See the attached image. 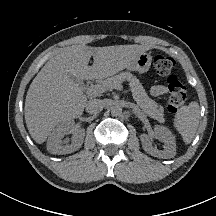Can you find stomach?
<instances>
[{
  "mask_svg": "<svg viewBox=\"0 0 216 216\" xmlns=\"http://www.w3.org/2000/svg\"><path fill=\"white\" fill-rule=\"evenodd\" d=\"M152 63V56L149 53H141L135 61H133L127 68L139 73H145L149 70Z\"/></svg>",
  "mask_w": 216,
  "mask_h": 216,
  "instance_id": "obj_1",
  "label": "stomach"
}]
</instances>
